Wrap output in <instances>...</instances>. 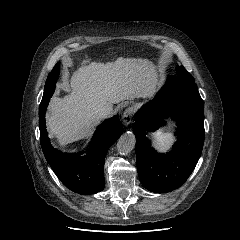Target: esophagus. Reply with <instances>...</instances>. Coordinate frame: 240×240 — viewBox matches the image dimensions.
Listing matches in <instances>:
<instances>
[{"instance_id": "esophagus-1", "label": "esophagus", "mask_w": 240, "mask_h": 240, "mask_svg": "<svg viewBox=\"0 0 240 240\" xmlns=\"http://www.w3.org/2000/svg\"><path fill=\"white\" fill-rule=\"evenodd\" d=\"M134 117V109L132 107L127 108L122 114V121L125 126L129 125Z\"/></svg>"}]
</instances>
